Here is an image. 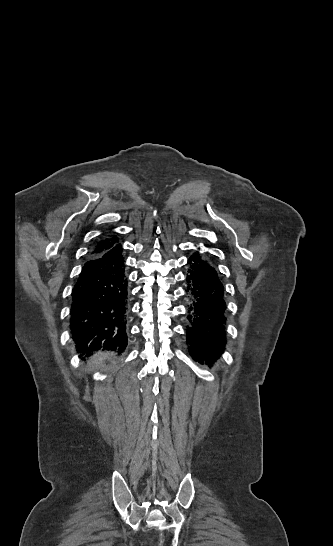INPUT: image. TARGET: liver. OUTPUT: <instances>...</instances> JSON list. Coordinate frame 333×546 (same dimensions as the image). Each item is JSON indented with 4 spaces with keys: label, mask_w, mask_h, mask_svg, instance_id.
Segmentation results:
<instances>
[{
    "label": "liver",
    "mask_w": 333,
    "mask_h": 546,
    "mask_svg": "<svg viewBox=\"0 0 333 546\" xmlns=\"http://www.w3.org/2000/svg\"><path fill=\"white\" fill-rule=\"evenodd\" d=\"M108 357V355L105 353V354H97L94 359H95V362L98 363V362H101L102 360L106 359Z\"/></svg>",
    "instance_id": "1"
}]
</instances>
